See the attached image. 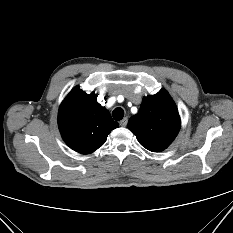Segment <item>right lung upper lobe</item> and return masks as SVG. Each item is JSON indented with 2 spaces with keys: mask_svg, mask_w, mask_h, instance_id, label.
Wrapping results in <instances>:
<instances>
[{
  "mask_svg": "<svg viewBox=\"0 0 233 233\" xmlns=\"http://www.w3.org/2000/svg\"><path fill=\"white\" fill-rule=\"evenodd\" d=\"M58 126L70 148L90 154L101 147L108 134L119 125L97 102L94 92L87 94L77 86L60 105Z\"/></svg>",
  "mask_w": 233,
  "mask_h": 233,
  "instance_id": "cb5924a9",
  "label": "right lung upper lobe"
}]
</instances>
